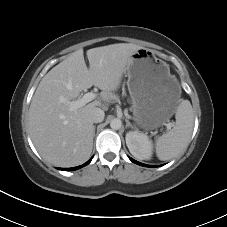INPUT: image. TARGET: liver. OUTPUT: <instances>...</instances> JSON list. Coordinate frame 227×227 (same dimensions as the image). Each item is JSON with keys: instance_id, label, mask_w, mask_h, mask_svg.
Returning a JSON list of instances; mask_svg holds the SVG:
<instances>
[{"instance_id": "obj_1", "label": "liver", "mask_w": 227, "mask_h": 227, "mask_svg": "<svg viewBox=\"0 0 227 227\" xmlns=\"http://www.w3.org/2000/svg\"><path fill=\"white\" fill-rule=\"evenodd\" d=\"M142 47L119 43L87 50L88 69L83 50H77L53 67L40 81L29 108V133L39 154L60 167H72L85 162L93 149L91 112L101 106V100L116 99L133 52ZM92 86L103 92L95 100L77 110H71L83 90Z\"/></svg>"}]
</instances>
